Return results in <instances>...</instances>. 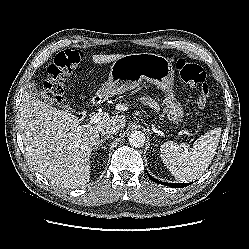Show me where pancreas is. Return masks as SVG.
I'll use <instances>...</instances> for the list:
<instances>
[{"instance_id": "pancreas-1", "label": "pancreas", "mask_w": 249, "mask_h": 249, "mask_svg": "<svg viewBox=\"0 0 249 249\" xmlns=\"http://www.w3.org/2000/svg\"><path fill=\"white\" fill-rule=\"evenodd\" d=\"M140 100L142 101V103L152 105L156 110H159V105L150 97H142L140 98Z\"/></svg>"}]
</instances>
